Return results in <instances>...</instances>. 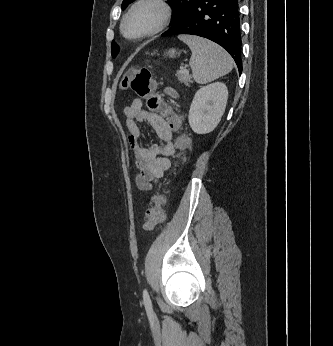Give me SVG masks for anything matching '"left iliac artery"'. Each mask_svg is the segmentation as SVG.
Returning <instances> with one entry per match:
<instances>
[{
  "label": "left iliac artery",
  "instance_id": "44dca946",
  "mask_svg": "<svg viewBox=\"0 0 333 346\" xmlns=\"http://www.w3.org/2000/svg\"><path fill=\"white\" fill-rule=\"evenodd\" d=\"M143 300H144V305H145L147 315L149 318H152L153 317L152 302H151L149 293L146 289L143 290Z\"/></svg>",
  "mask_w": 333,
  "mask_h": 346
}]
</instances>
